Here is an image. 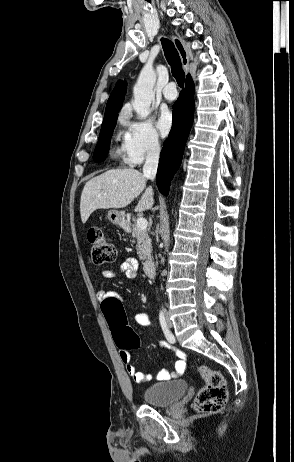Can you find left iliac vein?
I'll return each mask as SVG.
<instances>
[{"label": "left iliac vein", "instance_id": "obj_1", "mask_svg": "<svg viewBox=\"0 0 294 462\" xmlns=\"http://www.w3.org/2000/svg\"><path fill=\"white\" fill-rule=\"evenodd\" d=\"M166 318H167V325H168L169 328H171L172 327V322L170 321L168 314L166 315Z\"/></svg>", "mask_w": 294, "mask_h": 462}]
</instances>
